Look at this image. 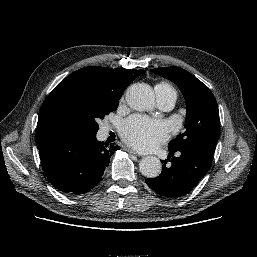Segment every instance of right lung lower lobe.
Here are the masks:
<instances>
[{"label": "right lung lower lobe", "instance_id": "1", "mask_svg": "<svg viewBox=\"0 0 257 257\" xmlns=\"http://www.w3.org/2000/svg\"><path fill=\"white\" fill-rule=\"evenodd\" d=\"M38 149L49 181L65 193L78 195L99 184L119 146L98 142L96 134H69L47 141Z\"/></svg>", "mask_w": 257, "mask_h": 257}]
</instances>
